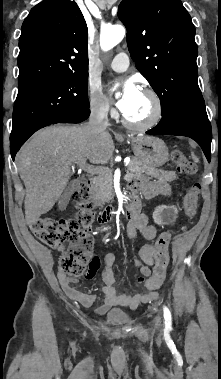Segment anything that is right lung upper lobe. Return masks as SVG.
Listing matches in <instances>:
<instances>
[{
  "instance_id": "obj_1",
  "label": "right lung upper lobe",
  "mask_w": 221,
  "mask_h": 379,
  "mask_svg": "<svg viewBox=\"0 0 221 379\" xmlns=\"http://www.w3.org/2000/svg\"><path fill=\"white\" fill-rule=\"evenodd\" d=\"M18 85L66 74L88 73V29L70 0H44L22 24Z\"/></svg>"
}]
</instances>
